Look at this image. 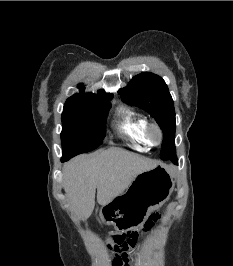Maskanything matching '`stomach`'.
Instances as JSON below:
<instances>
[{
	"label": "stomach",
	"instance_id": "0dacf381",
	"mask_svg": "<svg viewBox=\"0 0 233 266\" xmlns=\"http://www.w3.org/2000/svg\"><path fill=\"white\" fill-rule=\"evenodd\" d=\"M175 176L177 167L162 164L138 174L124 194L104 204L101 214L105 217V228H112V232H132L133 228H140L170 195Z\"/></svg>",
	"mask_w": 233,
	"mask_h": 266
}]
</instances>
